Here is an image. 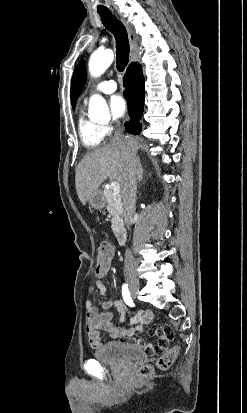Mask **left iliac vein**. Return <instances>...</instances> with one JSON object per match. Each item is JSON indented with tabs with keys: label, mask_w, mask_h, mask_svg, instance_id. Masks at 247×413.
<instances>
[{
	"label": "left iliac vein",
	"mask_w": 247,
	"mask_h": 413,
	"mask_svg": "<svg viewBox=\"0 0 247 413\" xmlns=\"http://www.w3.org/2000/svg\"><path fill=\"white\" fill-rule=\"evenodd\" d=\"M132 298H133V299H136V294H132Z\"/></svg>",
	"instance_id": "4c4485c4"
}]
</instances>
